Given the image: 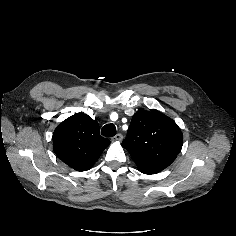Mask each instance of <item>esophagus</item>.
Segmentation results:
<instances>
[{
  "label": "esophagus",
  "mask_w": 236,
  "mask_h": 236,
  "mask_svg": "<svg viewBox=\"0 0 236 236\" xmlns=\"http://www.w3.org/2000/svg\"><path fill=\"white\" fill-rule=\"evenodd\" d=\"M113 141H122L123 140V135L122 134H116L113 138H112Z\"/></svg>",
  "instance_id": "34e87169"
}]
</instances>
